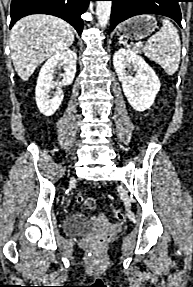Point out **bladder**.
<instances>
[{
    "mask_svg": "<svg viewBox=\"0 0 193 287\" xmlns=\"http://www.w3.org/2000/svg\"><path fill=\"white\" fill-rule=\"evenodd\" d=\"M96 227V221L80 213L69 214L64 221V231L71 235L84 234Z\"/></svg>",
    "mask_w": 193,
    "mask_h": 287,
    "instance_id": "obj_1",
    "label": "bladder"
}]
</instances>
